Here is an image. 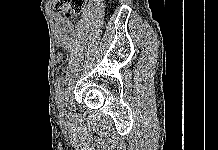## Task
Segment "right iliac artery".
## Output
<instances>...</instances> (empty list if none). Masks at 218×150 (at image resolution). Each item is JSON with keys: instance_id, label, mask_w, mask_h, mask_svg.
<instances>
[{"instance_id": "obj_1", "label": "right iliac artery", "mask_w": 218, "mask_h": 150, "mask_svg": "<svg viewBox=\"0 0 218 150\" xmlns=\"http://www.w3.org/2000/svg\"><path fill=\"white\" fill-rule=\"evenodd\" d=\"M63 82L62 80L59 81L57 89H56V102L58 104V107L62 106V101H63Z\"/></svg>"}]
</instances>
